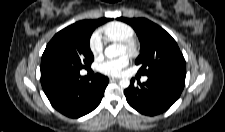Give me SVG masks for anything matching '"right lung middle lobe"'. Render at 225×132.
Returning <instances> with one entry per match:
<instances>
[{
    "instance_id": "right-lung-middle-lobe-1",
    "label": "right lung middle lobe",
    "mask_w": 225,
    "mask_h": 132,
    "mask_svg": "<svg viewBox=\"0 0 225 132\" xmlns=\"http://www.w3.org/2000/svg\"><path fill=\"white\" fill-rule=\"evenodd\" d=\"M109 18L83 20L59 31L46 46L41 60V74H76L94 60L89 42L94 29Z\"/></svg>"
}]
</instances>
